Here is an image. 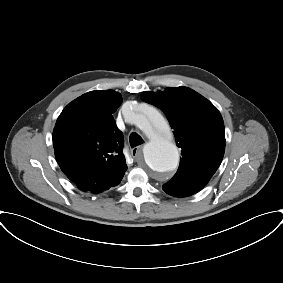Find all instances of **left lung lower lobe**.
Wrapping results in <instances>:
<instances>
[{
	"label": "left lung lower lobe",
	"mask_w": 283,
	"mask_h": 283,
	"mask_svg": "<svg viewBox=\"0 0 283 283\" xmlns=\"http://www.w3.org/2000/svg\"><path fill=\"white\" fill-rule=\"evenodd\" d=\"M203 187L190 185L184 182L177 183L175 185H164L163 190L175 197H187L199 192Z\"/></svg>",
	"instance_id": "0a47b994"
}]
</instances>
